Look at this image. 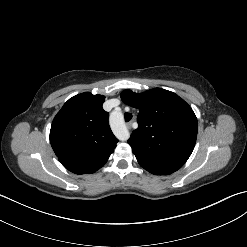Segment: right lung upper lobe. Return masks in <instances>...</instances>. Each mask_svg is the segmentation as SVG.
<instances>
[{
	"label": "right lung upper lobe",
	"instance_id": "1",
	"mask_svg": "<svg viewBox=\"0 0 247 247\" xmlns=\"http://www.w3.org/2000/svg\"><path fill=\"white\" fill-rule=\"evenodd\" d=\"M105 97L82 93L70 98L55 116L50 143L61 164L75 174L94 173L113 153L118 139L102 104Z\"/></svg>",
	"mask_w": 247,
	"mask_h": 247
}]
</instances>
